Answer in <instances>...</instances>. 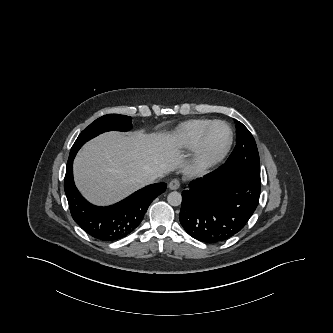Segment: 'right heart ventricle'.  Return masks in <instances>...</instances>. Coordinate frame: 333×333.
Here are the masks:
<instances>
[{"instance_id": "e07e8e85", "label": "right heart ventricle", "mask_w": 333, "mask_h": 333, "mask_svg": "<svg viewBox=\"0 0 333 333\" xmlns=\"http://www.w3.org/2000/svg\"><path fill=\"white\" fill-rule=\"evenodd\" d=\"M212 122L210 119L187 120L173 131V138L182 147H195Z\"/></svg>"}]
</instances>
